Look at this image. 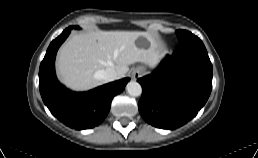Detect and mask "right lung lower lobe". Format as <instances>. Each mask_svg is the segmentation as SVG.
Instances as JSON below:
<instances>
[{"label":"right lung lower lobe","instance_id":"98d812e1","mask_svg":"<svg viewBox=\"0 0 258 158\" xmlns=\"http://www.w3.org/2000/svg\"><path fill=\"white\" fill-rule=\"evenodd\" d=\"M71 29L66 28L48 47L39 69V89L44 104L55 117L65 125L81 130L93 128L106 118L112 98L124 90L130 78L79 93L61 85L55 75V56Z\"/></svg>","mask_w":258,"mask_h":158}]
</instances>
